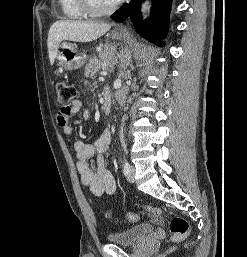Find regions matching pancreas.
Here are the masks:
<instances>
[{
	"label": "pancreas",
	"instance_id": "pancreas-1",
	"mask_svg": "<svg viewBox=\"0 0 247 257\" xmlns=\"http://www.w3.org/2000/svg\"><path fill=\"white\" fill-rule=\"evenodd\" d=\"M113 61L111 58L102 54L101 59L93 58L85 66L84 72L86 77H95L97 72L102 70H111Z\"/></svg>",
	"mask_w": 247,
	"mask_h": 257
}]
</instances>
